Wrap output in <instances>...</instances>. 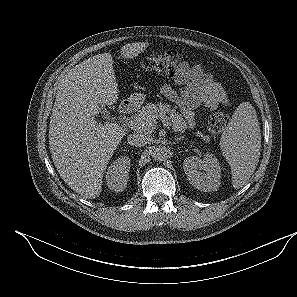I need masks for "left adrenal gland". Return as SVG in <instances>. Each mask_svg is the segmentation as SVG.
Returning a JSON list of instances; mask_svg holds the SVG:
<instances>
[{"label":"left adrenal gland","mask_w":297,"mask_h":297,"mask_svg":"<svg viewBox=\"0 0 297 297\" xmlns=\"http://www.w3.org/2000/svg\"><path fill=\"white\" fill-rule=\"evenodd\" d=\"M184 138L182 137H179V138H177V142H179V141H181V140H183Z\"/></svg>","instance_id":"a2214340"}]
</instances>
